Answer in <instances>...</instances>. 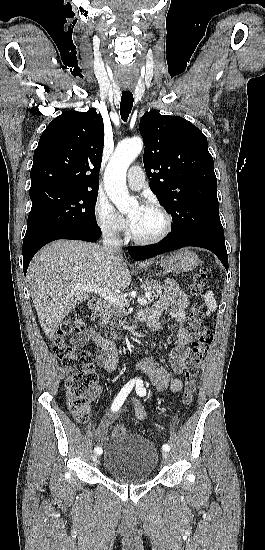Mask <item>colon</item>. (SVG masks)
I'll list each match as a JSON object with an SVG mask.
<instances>
[{"mask_svg":"<svg viewBox=\"0 0 265 550\" xmlns=\"http://www.w3.org/2000/svg\"><path fill=\"white\" fill-rule=\"evenodd\" d=\"M206 282V272L204 270L196 272L190 278L189 289L192 296L198 297ZM189 327L195 339L184 373L181 396L184 405L192 402L201 365L213 341V335L204 322V314L198 303L193 304L190 309ZM85 330L86 323L81 319L79 312L71 311L57 329L53 339L54 353L67 372L65 384L67 407L79 424H86L90 420V402L98 393L95 388L97 375L92 354L86 350H77L66 342V338L73 333H82ZM126 433L127 429L124 425L115 424L111 428L113 437L124 436Z\"/></svg>","mask_w":265,"mask_h":550,"instance_id":"colon-1","label":"colon"}]
</instances>
